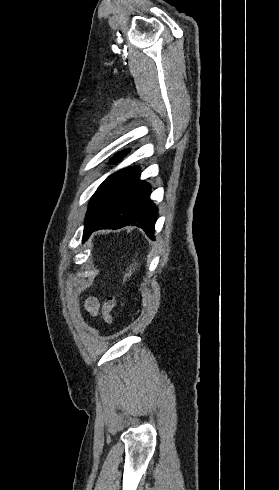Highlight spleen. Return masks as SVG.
Instances as JSON below:
<instances>
[{
	"mask_svg": "<svg viewBox=\"0 0 279 490\" xmlns=\"http://www.w3.org/2000/svg\"><path fill=\"white\" fill-rule=\"evenodd\" d=\"M134 266H138V264H131V266H129L127 270L128 274H125L124 280H126V278H130L131 274H133V270H135Z\"/></svg>",
	"mask_w": 279,
	"mask_h": 490,
	"instance_id": "spleen-1",
	"label": "spleen"
}]
</instances>
